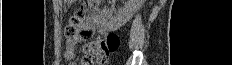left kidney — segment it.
<instances>
[{"label": "left kidney", "instance_id": "left-kidney-1", "mask_svg": "<svg viewBox=\"0 0 232 65\" xmlns=\"http://www.w3.org/2000/svg\"><path fill=\"white\" fill-rule=\"evenodd\" d=\"M140 4V0H127L123 8L114 15L112 11L104 8L101 13L102 26L110 31L119 29L132 18Z\"/></svg>", "mask_w": 232, "mask_h": 65}]
</instances>
